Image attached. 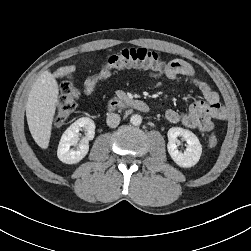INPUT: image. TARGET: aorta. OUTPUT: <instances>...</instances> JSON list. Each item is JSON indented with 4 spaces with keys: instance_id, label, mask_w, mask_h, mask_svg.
Instances as JSON below:
<instances>
[{
    "instance_id": "762f6f07",
    "label": "aorta",
    "mask_w": 251,
    "mask_h": 251,
    "mask_svg": "<svg viewBox=\"0 0 251 251\" xmlns=\"http://www.w3.org/2000/svg\"><path fill=\"white\" fill-rule=\"evenodd\" d=\"M130 122L134 126H139L142 123V117L138 114H134L131 116Z\"/></svg>"
}]
</instances>
